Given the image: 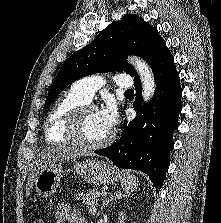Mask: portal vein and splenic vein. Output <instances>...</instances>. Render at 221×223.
<instances>
[{"label": "portal vein and splenic vein", "mask_w": 221, "mask_h": 223, "mask_svg": "<svg viewBox=\"0 0 221 223\" xmlns=\"http://www.w3.org/2000/svg\"><path fill=\"white\" fill-rule=\"evenodd\" d=\"M107 193L106 192H102V196H105Z\"/></svg>", "instance_id": "obj_1"}]
</instances>
